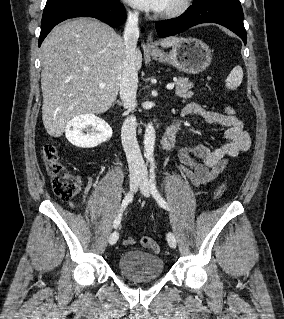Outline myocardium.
<instances>
[{
    "label": "myocardium",
    "instance_id": "1",
    "mask_svg": "<svg viewBox=\"0 0 284 319\" xmlns=\"http://www.w3.org/2000/svg\"><path fill=\"white\" fill-rule=\"evenodd\" d=\"M192 0H178L169 9L161 11L159 16L161 18H176L183 15L191 6Z\"/></svg>",
    "mask_w": 284,
    "mask_h": 319
}]
</instances>
